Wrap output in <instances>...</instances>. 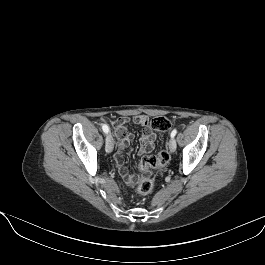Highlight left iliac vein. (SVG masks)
Returning a JSON list of instances; mask_svg holds the SVG:
<instances>
[{
	"instance_id": "1",
	"label": "left iliac vein",
	"mask_w": 265,
	"mask_h": 265,
	"mask_svg": "<svg viewBox=\"0 0 265 265\" xmlns=\"http://www.w3.org/2000/svg\"><path fill=\"white\" fill-rule=\"evenodd\" d=\"M168 146L171 152H175L177 144H176V140L174 139V137L170 138L168 142Z\"/></svg>"
}]
</instances>
